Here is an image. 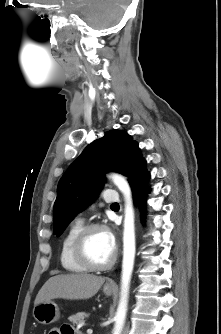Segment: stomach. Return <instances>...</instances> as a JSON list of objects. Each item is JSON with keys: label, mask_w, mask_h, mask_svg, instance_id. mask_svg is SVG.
Returning a JSON list of instances; mask_svg holds the SVG:
<instances>
[{"label": "stomach", "mask_w": 221, "mask_h": 334, "mask_svg": "<svg viewBox=\"0 0 221 334\" xmlns=\"http://www.w3.org/2000/svg\"><path fill=\"white\" fill-rule=\"evenodd\" d=\"M103 292L106 296L113 294L114 289L104 286ZM34 319L41 324L49 325L56 322L60 318L58 305L53 301L39 303L33 308Z\"/></svg>", "instance_id": "0dacf381"}]
</instances>
